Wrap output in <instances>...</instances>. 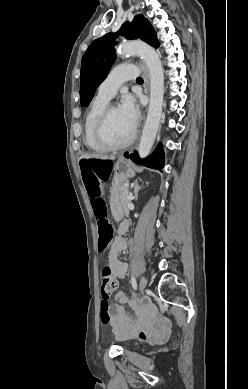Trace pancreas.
I'll return each instance as SVG.
<instances>
[{"mask_svg": "<svg viewBox=\"0 0 248 389\" xmlns=\"http://www.w3.org/2000/svg\"><path fill=\"white\" fill-rule=\"evenodd\" d=\"M116 189L120 192V200H121V205L123 207L124 213L127 215L128 214V209H127V204L130 202L128 199V189L126 185H120L116 187Z\"/></svg>", "mask_w": 248, "mask_h": 389, "instance_id": "pancreas-1", "label": "pancreas"}]
</instances>
